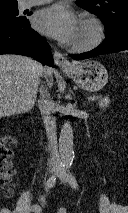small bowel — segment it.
Wrapping results in <instances>:
<instances>
[{
    "label": "small bowel",
    "mask_w": 128,
    "mask_h": 213,
    "mask_svg": "<svg viewBox=\"0 0 128 213\" xmlns=\"http://www.w3.org/2000/svg\"><path fill=\"white\" fill-rule=\"evenodd\" d=\"M44 197L45 195L44 194H41L38 198V203L35 204L34 206H32L31 208V211L32 212H35V213H41L42 211V203L44 201Z\"/></svg>",
    "instance_id": "c3829d8e"
}]
</instances>
